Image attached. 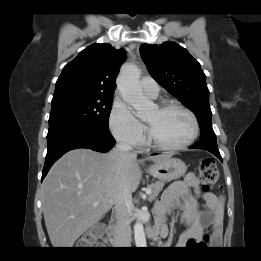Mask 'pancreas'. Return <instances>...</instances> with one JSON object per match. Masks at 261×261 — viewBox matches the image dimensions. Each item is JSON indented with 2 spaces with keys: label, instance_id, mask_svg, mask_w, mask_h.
<instances>
[{
  "label": "pancreas",
  "instance_id": "cf45deb5",
  "mask_svg": "<svg viewBox=\"0 0 261 261\" xmlns=\"http://www.w3.org/2000/svg\"><path fill=\"white\" fill-rule=\"evenodd\" d=\"M164 182L153 183L149 186L151 189V199H155L158 194L163 190Z\"/></svg>",
  "mask_w": 261,
  "mask_h": 261
}]
</instances>
